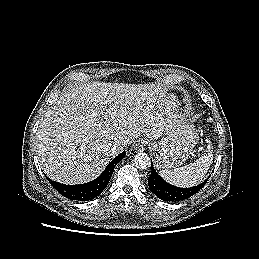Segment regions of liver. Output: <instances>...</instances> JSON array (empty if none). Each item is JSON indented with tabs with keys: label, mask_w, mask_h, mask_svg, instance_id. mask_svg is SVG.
<instances>
[{
	"label": "liver",
	"mask_w": 259,
	"mask_h": 259,
	"mask_svg": "<svg viewBox=\"0 0 259 259\" xmlns=\"http://www.w3.org/2000/svg\"><path fill=\"white\" fill-rule=\"evenodd\" d=\"M171 98L154 84L88 82L62 92L36 133L44 173L64 184L97 178L119 153L116 143L162 136Z\"/></svg>",
	"instance_id": "6515ba94"
}]
</instances>
